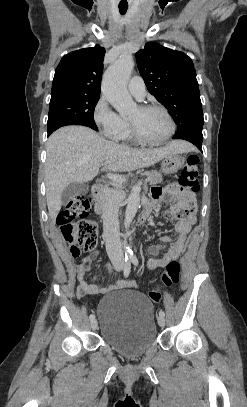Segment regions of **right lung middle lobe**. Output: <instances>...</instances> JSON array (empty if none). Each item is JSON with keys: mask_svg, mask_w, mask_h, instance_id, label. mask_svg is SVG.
Returning <instances> with one entry per match:
<instances>
[{"mask_svg": "<svg viewBox=\"0 0 247 407\" xmlns=\"http://www.w3.org/2000/svg\"><path fill=\"white\" fill-rule=\"evenodd\" d=\"M100 95L63 93L51 96L48 131L64 125H84L98 130L94 122V109Z\"/></svg>", "mask_w": 247, "mask_h": 407, "instance_id": "obj_1", "label": "right lung middle lobe"}]
</instances>
